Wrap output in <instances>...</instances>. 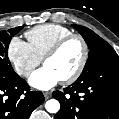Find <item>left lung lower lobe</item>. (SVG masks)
<instances>
[{"label":"left lung lower lobe","instance_id":"1","mask_svg":"<svg viewBox=\"0 0 119 119\" xmlns=\"http://www.w3.org/2000/svg\"><path fill=\"white\" fill-rule=\"evenodd\" d=\"M53 97L61 104L54 119H119V61L92 69Z\"/></svg>","mask_w":119,"mask_h":119}]
</instances>
